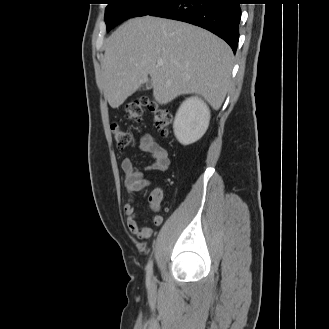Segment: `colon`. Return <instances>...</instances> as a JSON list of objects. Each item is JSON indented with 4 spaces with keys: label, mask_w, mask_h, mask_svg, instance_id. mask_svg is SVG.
Masks as SVG:
<instances>
[{
    "label": "colon",
    "mask_w": 329,
    "mask_h": 329,
    "mask_svg": "<svg viewBox=\"0 0 329 329\" xmlns=\"http://www.w3.org/2000/svg\"><path fill=\"white\" fill-rule=\"evenodd\" d=\"M148 108L156 128L162 134L169 133L172 127V113L170 109L158 103L150 101L147 97L141 96L126 103L125 114L129 121L141 124L145 109ZM112 132L117 145L120 148H128L133 144V138L129 132L118 124L112 125Z\"/></svg>",
    "instance_id": "obj_1"
}]
</instances>
